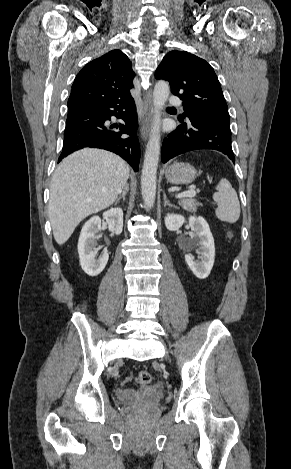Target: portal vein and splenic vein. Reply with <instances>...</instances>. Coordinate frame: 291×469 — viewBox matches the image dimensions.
<instances>
[{
    "instance_id": "portal-vein-and-splenic-vein-1",
    "label": "portal vein and splenic vein",
    "mask_w": 291,
    "mask_h": 469,
    "mask_svg": "<svg viewBox=\"0 0 291 469\" xmlns=\"http://www.w3.org/2000/svg\"><path fill=\"white\" fill-rule=\"evenodd\" d=\"M195 195H196V191L194 190V188H192L188 191H185V192H182V193L178 194L177 198L194 197Z\"/></svg>"
}]
</instances>
